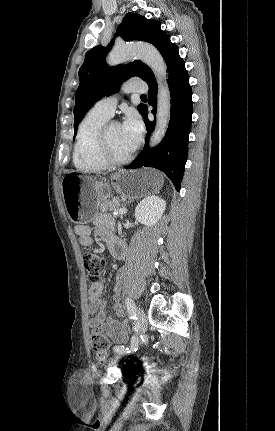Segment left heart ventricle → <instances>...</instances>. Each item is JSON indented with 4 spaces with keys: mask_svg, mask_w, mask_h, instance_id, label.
Returning a JSON list of instances; mask_svg holds the SVG:
<instances>
[{
    "mask_svg": "<svg viewBox=\"0 0 275 431\" xmlns=\"http://www.w3.org/2000/svg\"><path fill=\"white\" fill-rule=\"evenodd\" d=\"M108 142L111 152L116 157L122 158L131 152L123 141L121 125L118 123H113L110 126L108 131Z\"/></svg>",
    "mask_w": 275,
    "mask_h": 431,
    "instance_id": "1",
    "label": "left heart ventricle"
}]
</instances>
